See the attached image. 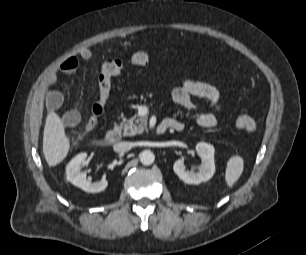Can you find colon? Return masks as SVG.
I'll use <instances>...</instances> for the list:
<instances>
[{
	"label": "colon",
	"instance_id": "colon-1",
	"mask_svg": "<svg viewBox=\"0 0 306 255\" xmlns=\"http://www.w3.org/2000/svg\"><path fill=\"white\" fill-rule=\"evenodd\" d=\"M148 62L149 55L144 50L136 51L129 60V63L134 66H144ZM125 67L126 62L116 58H108L101 63L97 79L99 98L91 107L90 117L85 126V133L92 131L96 127L98 119L103 113L104 107L110 97L112 78L121 74ZM233 123L236 128L248 133H254L257 131V124L250 116L238 115L234 117Z\"/></svg>",
	"mask_w": 306,
	"mask_h": 255
}]
</instances>
